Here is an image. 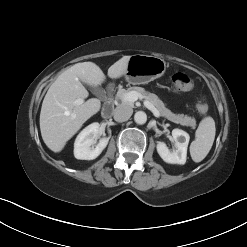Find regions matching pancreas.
I'll return each mask as SVG.
<instances>
[{
    "instance_id": "cf45deb5",
    "label": "pancreas",
    "mask_w": 247,
    "mask_h": 247,
    "mask_svg": "<svg viewBox=\"0 0 247 247\" xmlns=\"http://www.w3.org/2000/svg\"><path fill=\"white\" fill-rule=\"evenodd\" d=\"M136 91L141 98L146 99L150 102L160 113L161 116L167 118L168 120L183 125V126H190L192 129L196 127V120L188 115L184 114H174L169 109L165 107V104L158 98L157 95L146 91L142 87H130L128 89L119 88L116 98L120 99L123 104L133 105L132 102H127L124 100V95L128 92Z\"/></svg>"
}]
</instances>
